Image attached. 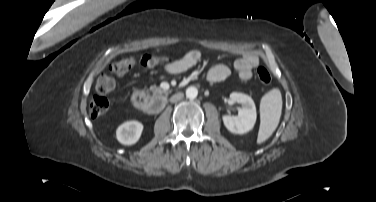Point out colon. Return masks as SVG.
Instances as JSON below:
<instances>
[{
	"label": "colon",
	"instance_id": "5ec220e1",
	"mask_svg": "<svg viewBox=\"0 0 376 202\" xmlns=\"http://www.w3.org/2000/svg\"><path fill=\"white\" fill-rule=\"evenodd\" d=\"M168 61L167 56H154V55H144L142 56L138 63L143 67H154L159 63ZM136 60L132 57L124 58L118 62L111 65L110 71L115 75H124L131 71L135 65ZM257 78L263 84H269L271 82V73L266 67H259L257 69ZM114 88V80L109 75H101L96 82V91L98 94L93 95L89 102V113L91 117L96 118L101 116L107 111L108 100L103 96L104 94L110 92Z\"/></svg>",
	"mask_w": 376,
	"mask_h": 202
}]
</instances>
